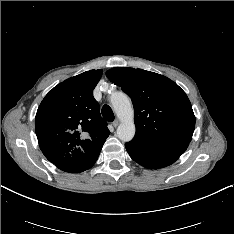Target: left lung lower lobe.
Masks as SVG:
<instances>
[{
  "label": "left lung lower lobe",
  "instance_id": "obj_1",
  "mask_svg": "<svg viewBox=\"0 0 234 234\" xmlns=\"http://www.w3.org/2000/svg\"><path fill=\"white\" fill-rule=\"evenodd\" d=\"M187 142H143L131 141L125 144L127 152L138 164L158 169L174 163L187 149Z\"/></svg>",
  "mask_w": 234,
  "mask_h": 234
}]
</instances>
